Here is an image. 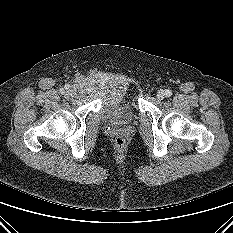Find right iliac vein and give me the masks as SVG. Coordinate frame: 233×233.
Segmentation results:
<instances>
[{"label": "right iliac vein", "mask_w": 233, "mask_h": 233, "mask_svg": "<svg viewBox=\"0 0 233 233\" xmlns=\"http://www.w3.org/2000/svg\"><path fill=\"white\" fill-rule=\"evenodd\" d=\"M66 96L69 98L71 96H73V90L72 89H69L66 91Z\"/></svg>", "instance_id": "63e3f726"}]
</instances>
